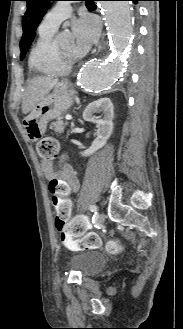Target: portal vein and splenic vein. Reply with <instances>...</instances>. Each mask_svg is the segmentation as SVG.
Wrapping results in <instances>:
<instances>
[{
  "label": "portal vein and splenic vein",
  "instance_id": "1",
  "mask_svg": "<svg viewBox=\"0 0 183 329\" xmlns=\"http://www.w3.org/2000/svg\"><path fill=\"white\" fill-rule=\"evenodd\" d=\"M65 119H66V120H71V119H72V116H71V115H66V116H65Z\"/></svg>",
  "mask_w": 183,
  "mask_h": 329
}]
</instances>
